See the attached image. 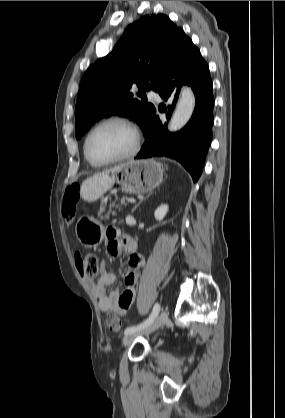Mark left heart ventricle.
<instances>
[{
  "instance_id": "left-heart-ventricle-1",
  "label": "left heart ventricle",
  "mask_w": 285,
  "mask_h": 418,
  "mask_svg": "<svg viewBox=\"0 0 285 418\" xmlns=\"http://www.w3.org/2000/svg\"><path fill=\"white\" fill-rule=\"evenodd\" d=\"M133 142V133L128 128L119 124H109L92 134L88 151L94 160L103 161L127 153Z\"/></svg>"
}]
</instances>
